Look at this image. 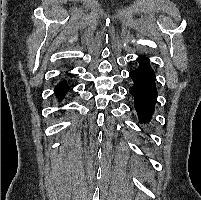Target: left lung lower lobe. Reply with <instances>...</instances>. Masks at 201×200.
Instances as JSON below:
<instances>
[{"label":"left lung lower lobe","instance_id":"obj_1","mask_svg":"<svg viewBox=\"0 0 201 200\" xmlns=\"http://www.w3.org/2000/svg\"><path fill=\"white\" fill-rule=\"evenodd\" d=\"M137 61L139 67L130 72L134 84L129 92L134 96V107L140 123H148L152 119L158 94L155 85V73L148 58L141 56Z\"/></svg>","mask_w":201,"mask_h":200}]
</instances>
